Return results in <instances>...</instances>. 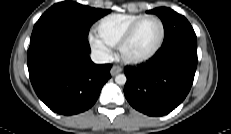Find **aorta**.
I'll use <instances>...</instances> for the list:
<instances>
[{"instance_id":"obj_1","label":"aorta","mask_w":231,"mask_h":134,"mask_svg":"<svg viewBox=\"0 0 231 134\" xmlns=\"http://www.w3.org/2000/svg\"><path fill=\"white\" fill-rule=\"evenodd\" d=\"M127 81V78L124 74H119L115 77V82L119 85H124Z\"/></svg>"}]
</instances>
